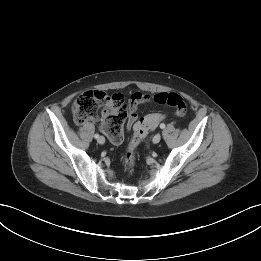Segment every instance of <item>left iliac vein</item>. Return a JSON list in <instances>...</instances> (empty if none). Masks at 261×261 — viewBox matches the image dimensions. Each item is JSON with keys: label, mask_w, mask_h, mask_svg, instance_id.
<instances>
[{"label": "left iliac vein", "mask_w": 261, "mask_h": 261, "mask_svg": "<svg viewBox=\"0 0 261 261\" xmlns=\"http://www.w3.org/2000/svg\"><path fill=\"white\" fill-rule=\"evenodd\" d=\"M160 140H161V135H160V134H156V135L153 137V139H152L153 143H155V144L159 143Z\"/></svg>", "instance_id": "left-iliac-vein-1"}]
</instances>
